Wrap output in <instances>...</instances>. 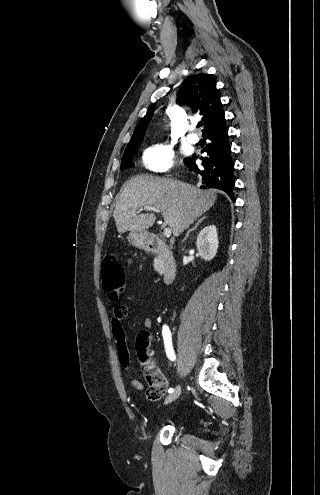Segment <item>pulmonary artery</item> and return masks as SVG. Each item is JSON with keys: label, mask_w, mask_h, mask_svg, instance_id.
Returning a JSON list of instances; mask_svg holds the SVG:
<instances>
[{"label": "pulmonary artery", "mask_w": 320, "mask_h": 495, "mask_svg": "<svg viewBox=\"0 0 320 495\" xmlns=\"http://www.w3.org/2000/svg\"><path fill=\"white\" fill-rule=\"evenodd\" d=\"M187 140L188 142L195 144L199 141V136L195 133H190L187 136Z\"/></svg>", "instance_id": "1"}]
</instances>
